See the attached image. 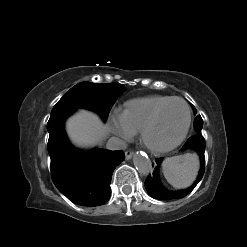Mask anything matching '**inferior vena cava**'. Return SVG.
<instances>
[{
	"mask_svg": "<svg viewBox=\"0 0 247 247\" xmlns=\"http://www.w3.org/2000/svg\"><path fill=\"white\" fill-rule=\"evenodd\" d=\"M106 147L109 150H125L127 148V144L120 138L111 137L108 140Z\"/></svg>",
	"mask_w": 247,
	"mask_h": 247,
	"instance_id": "obj_1",
	"label": "inferior vena cava"
}]
</instances>
